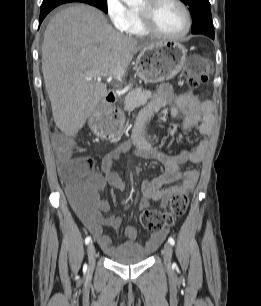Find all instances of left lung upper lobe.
I'll return each mask as SVG.
<instances>
[{
	"mask_svg": "<svg viewBox=\"0 0 261 306\" xmlns=\"http://www.w3.org/2000/svg\"><path fill=\"white\" fill-rule=\"evenodd\" d=\"M189 6L193 19L191 31L193 34L214 33L209 0H181Z\"/></svg>",
	"mask_w": 261,
	"mask_h": 306,
	"instance_id": "1",
	"label": "left lung upper lobe"
}]
</instances>
